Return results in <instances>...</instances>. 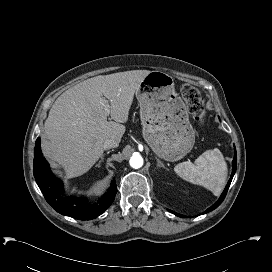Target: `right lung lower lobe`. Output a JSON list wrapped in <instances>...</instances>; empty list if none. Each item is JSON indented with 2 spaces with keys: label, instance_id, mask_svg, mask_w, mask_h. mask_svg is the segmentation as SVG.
I'll return each mask as SVG.
<instances>
[{
  "label": "right lung lower lobe",
  "instance_id": "obj_1",
  "mask_svg": "<svg viewBox=\"0 0 272 272\" xmlns=\"http://www.w3.org/2000/svg\"><path fill=\"white\" fill-rule=\"evenodd\" d=\"M34 156L33 173L36 182L46 201L57 212L79 220H91L107 210L114 201L117 192L115 180L111 182V187L96 205L87 206L85 198L72 196L63 198L61 196L63 192L62 183L51 173L49 165L42 155L40 138L36 140Z\"/></svg>",
  "mask_w": 272,
  "mask_h": 272
}]
</instances>
